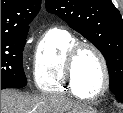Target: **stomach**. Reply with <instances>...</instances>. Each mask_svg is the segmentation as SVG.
I'll return each instance as SVG.
<instances>
[{
    "mask_svg": "<svg viewBox=\"0 0 123 113\" xmlns=\"http://www.w3.org/2000/svg\"><path fill=\"white\" fill-rule=\"evenodd\" d=\"M76 113H97L94 109H86Z\"/></svg>",
    "mask_w": 123,
    "mask_h": 113,
    "instance_id": "stomach-1",
    "label": "stomach"
}]
</instances>
